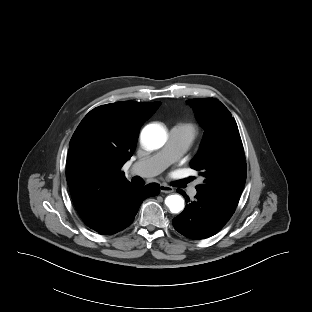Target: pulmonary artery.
<instances>
[{
  "label": "pulmonary artery",
  "mask_w": 312,
  "mask_h": 312,
  "mask_svg": "<svg viewBox=\"0 0 312 312\" xmlns=\"http://www.w3.org/2000/svg\"><path fill=\"white\" fill-rule=\"evenodd\" d=\"M193 137L190 132L180 126H174L169 133L166 145L151 157L140 159L133 164L134 172L140 177H152L161 173L169 164L179 159L189 148ZM190 195L197 194L195 187Z\"/></svg>",
  "instance_id": "e3ab8cb5"
}]
</instances>
